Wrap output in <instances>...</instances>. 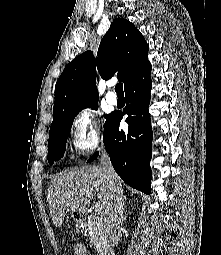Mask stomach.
Instances as JSON below:
<instances>
[{"label":"stomach","mask_w":221,"mask_h":255,"mask_svg":"<svg viewBox=\"0 0 221 255\" xmlns=\"http://www.w3.org/2000/svg\"><path fill=\"white\" fill-rule=\"evenodd\" d=\"M72 217L75 220H81V215L77 211L72 212Z\"/></svg>","instance_id":"1"}]
</instances>
